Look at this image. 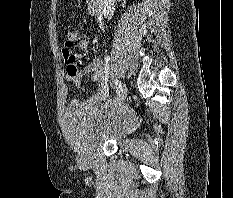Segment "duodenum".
Segmentation results:
<instances>
[{
  "instance_id": "obj_1",
  "label": "duodenum",
  "mask_w": 233,
  "mask_h": 198,
  "mask_svg": "<svg viewBox=\"0 0 233 198\" xmlns=\"http://www.w3.org/2000/svg\"><path fill=\"white\" fill-rule=\"evenodd\" d=\"M88 13L94 17H100L102 12V0H89Z\"/></svg>"
}]
</instances>
